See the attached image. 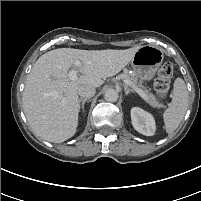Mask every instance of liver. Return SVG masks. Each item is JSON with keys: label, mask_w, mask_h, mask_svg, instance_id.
Listing matches in <instances>:
<instances>
[{"label": "liver", "mask_w": 201, "mask_h": 201, "mask_svg": "<svg viewBox=\"0 0 201 201\" xmlns=\"http://www.w3.org/2000/svg\"><path fill=\"white\" fill-rule=\"evenodd\" d=\"M138 49L58 48L39 57L27 77L22 96L23 111L35 135L54 143L74 136L80 109L78 88L101 86L103 79L118 74ZM77 60L80 67L74 64ZM72 67L81 73L75 81L68 77Z\"/></svg>", "instance_id": "6515ba94"}]
</instances>
